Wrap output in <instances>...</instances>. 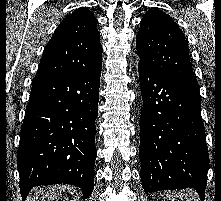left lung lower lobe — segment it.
Returning a JSON list of instances; mask_svg holds the SVG:
<instances>
[{
    "instance_id": "1",
    "label": "left lung lower lobe",
    "mask_w": 221,
    "mask_h": 201,
    "mask_svg": "<svg viewBox=\"0 0 221 201\" xmlns=\"http://www.w3.org/2000/svg\"><path fill=\"white\" fill-rule=\"evenodd\" d=\"M143 98L139 157L145 193L194 188L204 200L209 169L198 85L139 64Z\"/></svg>"
}]
</instances>
